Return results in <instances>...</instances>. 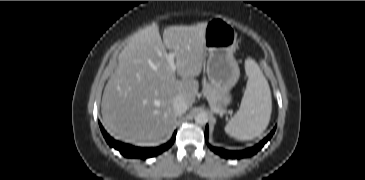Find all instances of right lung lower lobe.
Here are the masks:
<instances>
[{
	"mask_svg": "<svg viewBox=\"0 0 365 180\" xmlns=\"http://www.w3.org/2000/svg\"><path fill=\"white\" fill-rule=\"evenodd\" d=\"M99 126H100L102 134L105 137L107 143L111 147H114L115 149H117L124 157H127V158L146 159L148 157L156 156V155L162 153L163 151H165L166 149H168L169 147H171V145L174 143L175 137H176V131H175L172 139L168 143H166L162 146H159L156 148H140V147H135V146L114 140L112 137H110L107 134V132L104 130V128L102 127L100 122H99Z\"/></svg>",
	"mask_w": 365,
	"mask_h": 180,
	"instance_id": "98d812e1",
	"label": "right lung lower lobe"
}]
</instances>
